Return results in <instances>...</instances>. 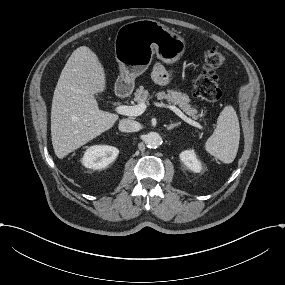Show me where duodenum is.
Returning a JSON list of instances; mask_svg holds the SVG:
<instances>
[{
    "instance_id": "obj_1",
    "label": "duodenum",
    "mask_w": 285,
    "mask_h": 285,
    "mask_svg": "<svg viewBox=\"0 0 285 285\" xmlns=\"http://www.w3.org/2000/svg\"><path fill=\"white\" fill-rule=\"evenodd\" d=\"M115 89L119 98H129L134 91V84L127 79H118L115 82Z\"/></svg>"
}]
</instances>
